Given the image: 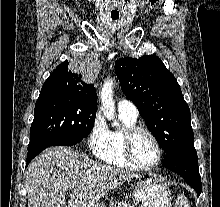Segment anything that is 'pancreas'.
<instances>
[{
  "instance_id": "pancreas-1",
  "label": "pancreas",
  "mask_w": 220,
  "mask_h": 207,
  "mask_svg": "<svg viewBox=\"0 0 220 207\" xmlns=\"http://www.w3.org/2000/svg\"><path fill=\"white\" fill-rule=\"evenodd\" d=\"M109 207H134V206H131V205L127 204L126 202H119L117 200L111 199Z\"/></svg>"
}]
</instances>
